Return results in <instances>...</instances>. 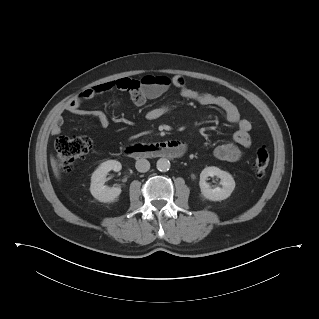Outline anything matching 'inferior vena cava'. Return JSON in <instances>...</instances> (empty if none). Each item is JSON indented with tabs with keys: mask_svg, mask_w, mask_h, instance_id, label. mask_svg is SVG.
<instances>
[{
	"mask_svg": "<svg viewBox=\"0 0 319 319\" xmlns=\"http://www.w3.org/2000/svg\"><path fill=\"white\" fill-rule=\"evenodd\" d=\"M135 167L139 172H147L150 169V163L142 158L136 161Z\"/></svg>",
	"mask_w": 319,
	"mask_h": 319,
	"instance_id": "inferior-vena-cava-1",
	"label": "inferior vena cava"
}]
</instances>
